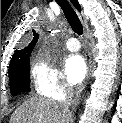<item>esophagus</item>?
<instances>
[{"instance_id":"obj_1","label":"esophagus","mask_w":122,"mask_h":123,"mask_svg":"<svg viewBox=\"0 0 122 123\" xmlns=\"http://www.w3.org/2000/svg\"><path fill=\"white\" fill-rule=\"evenodd\" d=\"M79 18L85 28V39H86V44H87V51H86V60H87V75L86 78L84 79L83 83L80 84L78 87V90L76 92V96H78L82 90L85 88L88 80L90 79L91 72H92V56H91V48H90V42H89V32H88V22L86 17L82 12H78Z\"/></svg>"}]
</instances>
